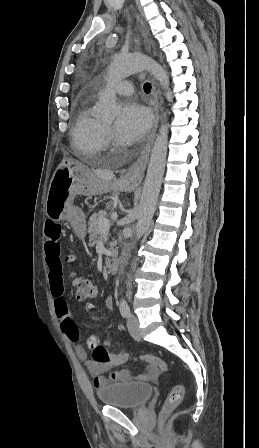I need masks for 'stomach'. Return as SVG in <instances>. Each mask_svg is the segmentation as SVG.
<instances>
[{
    "label": "stomach",
    "instance_id": "obj_1",
    "mask_svg": "<svg viewBox=\"0 0 259 448\" xmlns=\"http://www.w3.org/2000/svg\"><path fill=\"white\" fill-rule=\"evenodd\" d=\"M73 166V160L64 158L55 170L47 194L45 212L46 216L55 222L58 220L71 221L75 234L79 238H84L87 213L82 212L79 206H67L73 202L76 194Z\"/></svg>",
    "mask_w": 259,
    "mask_h": 448
}]
</instances>
